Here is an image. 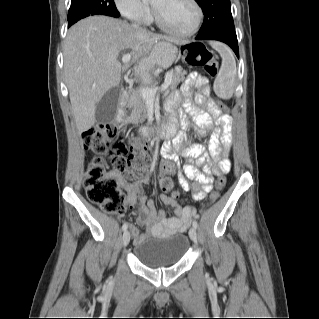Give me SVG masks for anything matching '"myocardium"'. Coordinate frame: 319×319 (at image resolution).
<instances>
[{"label":"myocardium","instance_id":"f54148a6","mask_svg":"<svg viewBox=\"0 0 319 319\" xmlns=\"http://www.w3.org/2000/svg\"><path fill=\"white\" fill-rule=\"evenodd\" d=\"M188 2L194 7V9L196 11L195 21L190 29H188L186 31H179V30L171 28L170 26H168L164 22V20L160 16L159 12L157 11V9L153 7V15H154V18H155V21H156V24L158 25V27L169 34L176 36V37H180V38L190 37L193 34H195L196 31L198 30V28L200 27L201 22H202L203 10H202L201 6L199 5V3L197 2V0H188Z\"/></svg>","mask_w":319,"mask_h":319}]
</instances>
